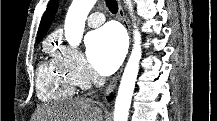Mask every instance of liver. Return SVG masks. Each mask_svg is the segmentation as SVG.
<instances>
[{
  "label": "liver",
  "mask_w": 217,
  "mask_h": 121,
  "mask_svg": "<svg viewBox=\"0 0 217 121\" xmlns=\"http://www.w3.org/2000/svg\"><path fill=\"white\" fill-rule=\"evenodd\" d=\"M37 121H102V111L92 99H67L38 110Z\"/></svg>",
  "instance_id": "liver-1"
}]
</instances>
